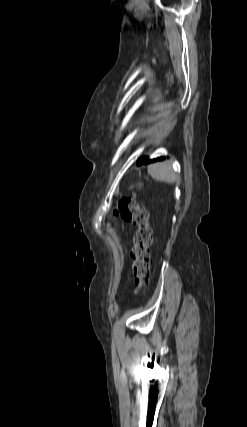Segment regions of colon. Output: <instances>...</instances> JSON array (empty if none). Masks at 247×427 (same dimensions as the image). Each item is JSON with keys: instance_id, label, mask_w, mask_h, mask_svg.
Masks as SVG:
<instances>
[{"instance_id": "1", "label": "colon", "mask_w": 247, "mask_h": 427, "mask_svg": "<svg viewBox=\"0 0 247 427\" xmlns=\"http://www.w3.org/2000/svg\"><path fill=\"white\" fill-rule=\"evenodd\" d=\"M113 216H119L125 222L132 223L136 227L130 256L134 288L135 292H138L150 274L152 229L149 225V212L133 198L124 197L118 202Z\"/></svg>"}]
</instances>
